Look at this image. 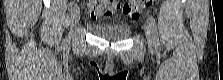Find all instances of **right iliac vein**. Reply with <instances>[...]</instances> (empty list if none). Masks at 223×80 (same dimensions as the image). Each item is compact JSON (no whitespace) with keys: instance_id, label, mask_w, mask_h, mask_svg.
Here are the masks:
<instances>
[{"instance_id":"1","label":"right iliac vein","mask_w":223,"mask_h":80,"mask_svg":"<svg viewBox=\"0 0 223 80\" xmlns=\"http://www.w3.org/2000/svg\"><path fill=\"white\" fill-rule=\"evenodd\" d=\"M79 19H80V10L79 8H75L72 13L71 28H74V26H76Z\"/></svg>"}]
</instances>
